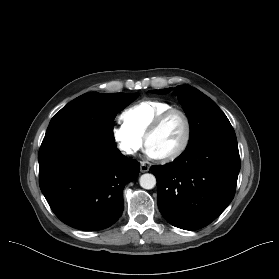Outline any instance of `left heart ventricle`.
<instances>
[{
  "label": "left heart ventricle",
  "mask_w": 279,
  "mask_h": 279,
  "mask_svg": "<svg viewBox=\"0 0 279 279\" xmlns=\"http://www.w3.org/2000/svg\"><path fill=\"white\" fill-rule=\"evenodd\" d=\"M185 134V124L179 114L170 115L161 127L150 136L148 147L159 157L176 150Z\"/></svg>",
  "instance_id": "left-heart-ventricle-1"
}]
</instances>
